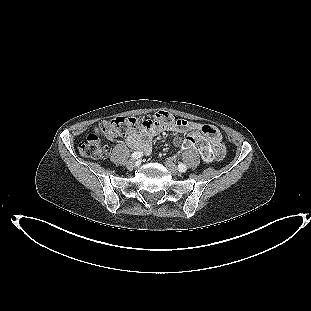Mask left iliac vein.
<instances>
[{
	"label": "left iliac vein",
	"instance_id": "left-iliac-vein-1",
	"mask_svg": "<svg viewBox=\"0 0 311 311\" xmlns=\"http://www.w3.org/2000/svg\"><path fill=\"white\" fill-rule=\"evenodd\" d=\"M164 163H165L166 168L169 170L171 174L173 175L179 174L178 169L176 165L172 162V160L166 159Z\"/></svg>",
	"mask_w": 311,
	"mask_h": 311
}]
</instances>
